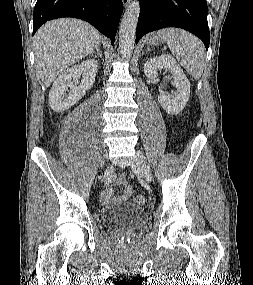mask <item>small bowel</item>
<instances>
[{"mask_svg":"<svg viewBox=\"0 0 253 285\" xmlns=\"http://www.w3.org/2000/svg\"><path fill=\"white\" fill-rule=\"evenodd\" d=\"M116 183L122 189L121 195L116 197L112 189L105 190L102 195V201L104 204L110 205L116 203H125L131 198L133 194V188L127 182L126 178L124 176H120L117 179Z\"/></svg>","mask_w":253,"mask_h":285,"instance_id":"obj_1","label":"small bowel"}]
</instances>
